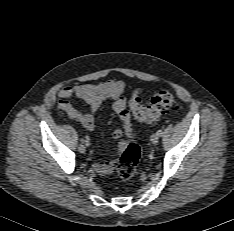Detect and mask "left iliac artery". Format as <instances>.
Listing matches in <instances>:
<instances>
[{"instance_id":"44dca946","label":"left iliac artery","mask_w":234,"mask_h":231,"mask_svg":"<svg viewBox=\"0 0 234 231\" xmlns=\"http://www.w3.org/2000/svg\"><path fill=\"white\" fill-rule=\"evenodd\" d=\"M158 136H162L163 132L161 130H158L156 133Z\"/></svg>"}]
</instances>
